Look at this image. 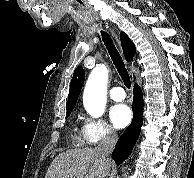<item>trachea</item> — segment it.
Segmentation results:
<instances>
[{
  "label": "trachea",
  "mask_w": 194,
  "mask_h": 178,
  "mask_svg": "<svg viewBox=\"0 0 194 178\" xmlns=\"http://www.w3.org/2000/svg\"><path fill=\"white\" fill-rule=\"evenodd\" d=\"M101 35H102V40L104 42V45L106 46V49L108 50V53L113 61V64L115 65L121 79L124 82V85L127 88H130L131 81H130L129 73L127 69L125 68L123 59L121 55L119 54L117 48L115 47L113 40L111 39L109 34L104 31H101Z\"/></svg>",
  "instance_id": "3493384b"
}]
</instances>
